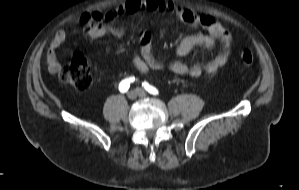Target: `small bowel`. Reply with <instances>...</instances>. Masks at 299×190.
Wrapping results in <instances>:
<instances>
[{
    "mask_svg": "<svg viewBox=\"0 0 299 190\" xmlns=\"http://www.w3.org/2000/svg\"><path fill=\"white\" fill-rule=\"evenodd\" d=\"M140 10L154 12L174 13L185 24H197L206 32H198L181 39L176 47V56L183 58L193 48L203 46L212 48L216 43L220 45V51L206 63L188 64L181 60L165 61L155 56L151 34L148 30L142 32L140 46L133 52L132 63L141 73L146 74L150 70H168L179 75L199 77L212 75L220 70L228 62L232 51V36L228 29L222 26L212 15H198L192 10L183 9L171 1L166 0H125L104 11H94L82 14L80 21L84 26V33L90 39H100L107 35L121 38L124 29L121 27H109L104 22L113 20L123 13H136ZM68 38L64 30H59L51 41L47 50V65L51 73L55 74L61 69L57 57V51Z\"/></svg>",
    "mask_w": 299,
    "mask_h": 190,
    "instance_id": "small-bowel-1",
    "label": "small bowel"
}]
</instances>
